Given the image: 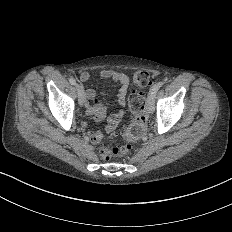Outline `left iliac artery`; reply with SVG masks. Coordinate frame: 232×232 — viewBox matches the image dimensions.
I'll return each mask as SVG.
<instances>
[{"mask_svg":"<svg viewBox=\"0 0 232 232\" xmlns=\"http://www.w3.org/2000/svg\"><path fill=\"white\" fill-rule=\"evenodd\" d=\"M163 86V82H158L151 88V94H155L161 87Z\"/></svg>","mask_w":232,"mask_h":232,"instance_id":"1","label":"left iliac artery"}]
</instances>
